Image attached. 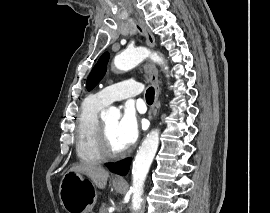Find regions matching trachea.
Segmentation results:
<instances>
[{
	"mask_svg": "<svg viewBox=\"0 0 270 213\" xmlns=\"http://www.w3.org/2000/svg\"><path fill=\"white\" fill-rule=\"evenodd\" d=\"M154 88L150 87L147 91H146V100L148 103L152 104L154 101Z\"/></svg>",
	"mask_w": 270,
	"mask_h": 213,
	"instance_id": "1",
	"label": "trachea"
}]
</instances>
